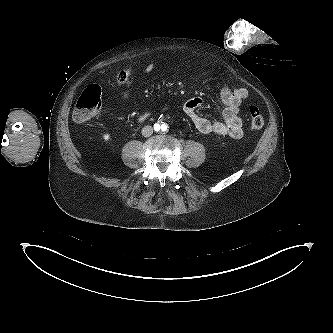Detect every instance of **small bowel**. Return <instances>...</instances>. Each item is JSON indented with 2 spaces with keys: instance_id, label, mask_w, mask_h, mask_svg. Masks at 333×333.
Here are the masks:
<instances>
[{
  "instance_id": "c3829d8e",
  "label": "small bowel",
  "mask_w": 333,
  "mask_h": 333,
  "mask_svg": "<svg viewBox=\"0 0 333 333\" xmlns=\"http://www.w3.org/2000/svg\"><path fill=\"white\" fill-rule=\"evenodd\" d=\"M153 69V63H148L145 67L146 72ZM129 92L122 93V98L127 99ZM248 96V91L244 87L230 88L224 86L220 92V99L224 105L223 120L210 121L198 113L202 106L201 98H192L184 103L183 110L191 119L197 130L203 134L215 133L222 136H229L239 139L243 135L242 120L240 117V108Z\"/></svg>"
}]
</instances>
